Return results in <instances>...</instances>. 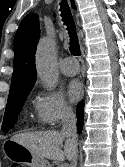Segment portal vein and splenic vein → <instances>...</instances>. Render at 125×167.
Returning <instances> with one entry per match:
<instances>
[{"mask_svg":"<svg viewBox=\"0 0 125 167\" xmlns=\"http://www.w3.org/2000/svg\"><path fill=\"white\" fill-rule=\"evenodd\" d=\"M60 167H69L68 164H62Z\"/></svg>","mask_w":125,"mask_h":167,"instance_id":"18ae733b","label":"portal vein and splenic vein"}]
</instances>
